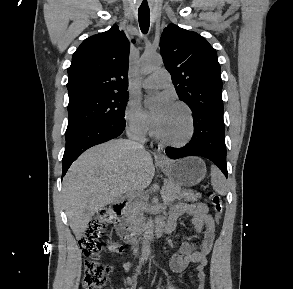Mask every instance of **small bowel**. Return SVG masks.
I'll use <instances>...</instances> for the list:
<instances>
[{
  "instance_id": "1",
  "label": "small bowel",
  "mask_w": 293,
  "mask_h": 289,
  "mask_svg": "<svg viewBox=\"0 0 293 289\" xmlns=\"http://www.w3.org/2000/svg\"><path fill=\"white\" fill-rule=\"evenodd\" d=\"M183 214L191 216L195 231L202 235L203 239L199 246H194L186 241L182 242L172 255L171 267L175 272H182L189 264L197 263L198 289H204V269L208 263L207 256L213 246L215 222L208 213V207L203 203L177 204L171 208L167 217L166 231L168 234L176 233V221ZM125 268L130 269V265L127 264Z\"/></svg>"
}]
</instances>
